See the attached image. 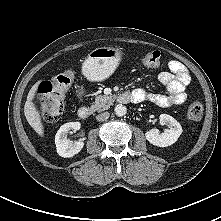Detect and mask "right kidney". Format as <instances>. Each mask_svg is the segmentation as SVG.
I'll list each match as a JSON object with an SVG mask.
<instances>
[{
    "label": "right kidney",
    "instance_id": "right-kidney-1",
    "mask_svg": "<svg viewBox=\"0 0 221 221\" xmlns=\"http://www.w3.org/2000/svg\"><path fill=\"white\" fill-rule=\"evenodd\" d=\"M81 127L79 122H69L63 124L55 135V144L57 153L59 156L64 158H70L74 155L78 154L83 146L84 142L79 140L76 142H72L67 138L68 132L70 130L77 131Z\"/></svg>",
    "mask_w": 221,
    "mask_h": 221
}]
</instances>
